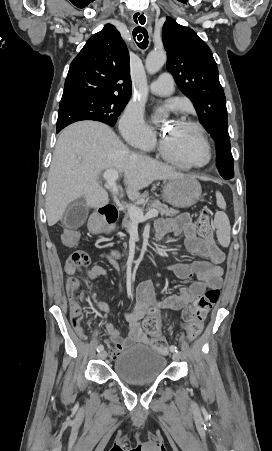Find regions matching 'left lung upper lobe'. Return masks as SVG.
Masks as SVG:
<instances>
[{
  "instance_id": "1",
  "label": "left lung upper lobe",
  "mask_w": 272,
  "mask_h": 451,
  "mask_svg": "<svg viewBox=\"0 0 272 451\" xmlns=\"http://www.w3.org/2000/svg\"><path fill=\"white\" fill-rule=\"evenodd\" d=\"M167 69L181 91L195 105L200 122L217 144V168L224 179L234 177L230 150L226 98L210 48L190 28L167 17L163 26Z\"/></svg>"
}]
</instances>
